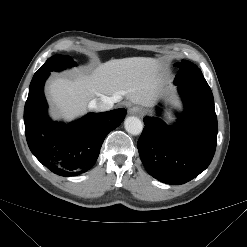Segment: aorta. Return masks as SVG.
Here are the masks:
<instances>
[{
	"mask_svg": "<svg viewBox=\"0 0 247 247\" xmlns=\"http://www.w3.org/2000/svg\"><path fill=\"white\" fill-rule=\"evenodd\" d=\"M125 130L132 135H139L143 130V124L141 120L135 116H130L125 119Z\"/></svg>",
	"mask_w": 247,
	"mask_h": 247,
	"instance_id": "762f6f07",
	"label": "aorta"
}]
</instances>
